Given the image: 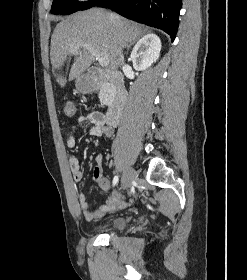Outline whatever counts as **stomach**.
Returning <instances> with one entry per match:
<instances>
[{"mask_svg": "<svg viewBox=\"0 0 247 280\" xmlns=\"http://www.w3.org/2000/svg\"><path fill=\"white\" fill-rule=\"evenodd\" d=\"M76 88L82 93H87L91 90V85L79 76L76 79Z\"/></svg>", "mask_w": 247, "mask_h": 280, "instance_id": "0dacf381", "label": "stomach"}]
</instances>
